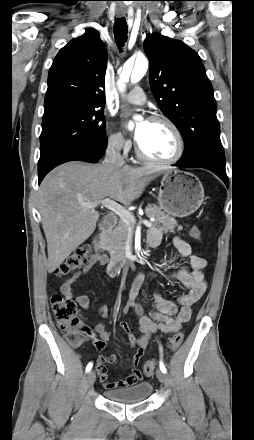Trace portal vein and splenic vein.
Returning a JSON list of instances; mask_svg holds the SVG:
<instances>
[{
    "mask_svg": "<svg viewBox=\"0 0 254 440\" xmlns=\"http://www.w3.org/2000/svg\"><path fill=\"white\" fill-rule=\"evenodd\" d=\"M98 205H102V206L106 207L107 209L111 210L112 212H114L127 225H135L136 220H135L134 215L132 213H130L128 210H126L123 206H121L120 204H118L117 202H115L109 198L96 200V201H92V202H88V203L83 204V206L87 207V208L96 207ZM142 223L146 227H151L153 225L152 222H150L148 220H143Z\"/></svg>",
    "mask_w": 254,
    "mask_h": 440,
    "instance_id": "18ae733b",
    "label": "portal vein and splenic vein"
}]
</instances>
